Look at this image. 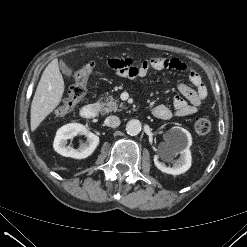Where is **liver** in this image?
<instances>
[{"label":"liver","instance_id":"obj_1","mask_svg":"<svg viewBox=\"0 0 247 247\" xmlns=\"http://www.w3.org/2000/svg\"><path fill=\"white\" fill-rule=\"evenodd\" d=\"M64 89V80L58 61L54 59L44 69L31 103L30 127L32 132L59 105Z\"/></svg>","mask_w":247,"mask_h":247}]
</instances>
